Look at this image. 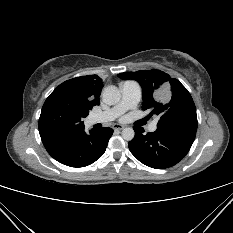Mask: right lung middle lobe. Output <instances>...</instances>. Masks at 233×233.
Segmentation results:
<instances>
[{"label":"right lung middle lobe","mask_w":233,"mask_h":233,"mask_svg":"<svg viewBox=\"0 0 233 233\" xmlns=\"http://www.w3.org/2000/svg\"><path fill=\"white\" fill-rule=\"evenodd\" d=\"M95 106L60 84L46 99L39 118V133L68 132L84 126L82 119Z\"/></svg>","instance_id":"dd1d6c3e"}]
</instances>
